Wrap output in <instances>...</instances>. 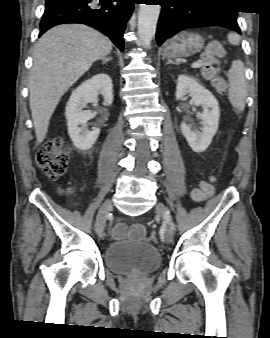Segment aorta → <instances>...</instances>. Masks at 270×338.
<instances>
[{"mask_svg":"<svg viewBox=\"0 0 270 338\" xmlns=\"http://www.w3.org/2000/svg\"><path fill=\"white\" fill-rule=\"evenodd\" d=\"M159 14V5H140L138 13V34L140 42L145 47L150 45L155 35Z\"/></svg>","mask_w":270,"mask_h":338,"instance_id":"762f6f07","label":"aorta"}]
</instances>
